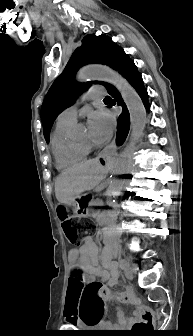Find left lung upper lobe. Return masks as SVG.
<instances>
[{"instance_id": "obj_1", "label": "left lung upper lobe", "mask_w": 193, "mask_h": 336, "mask_svg": "<svg viewBox=\"0 0 193 336\" xmlns=\"http://www.w3.org/2000/svg\"><path fill=\"white\" fill-rule=\"evenodd\" d=\"M122 51L111 39L101 36H86L81 47L77 48L68 61L63 73L50 87L41 108V119L45 140L49 141V133L55 118L67 107L71 106L76 96L86 90L91 82L79 84L74 80L77 70L87 64H105L115 69L118 54ZM107 87L109 84L94 81Z\"/></svg>"}]
</instances>
